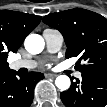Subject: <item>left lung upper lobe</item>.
<instances>
[{
    "instance_id": "1",
    "label": "left lung upper lobe",
    "mask_w": 107,
    "mask_h": 107,
    "mask_svg": "<svg viewBox=\"0 0 107 107\" xmlns=\"http://www.w3.org/2000/svg\"><path fill=\"white\" fill-rule=\"evenodd\" d=\"M43 22L58 29L67 45L66 58L79 57L82 74L107 77V19L89 10L75 8L52 13ZM83 61L85 64L80 65Z\"/></svg>"
}]
</instances>
